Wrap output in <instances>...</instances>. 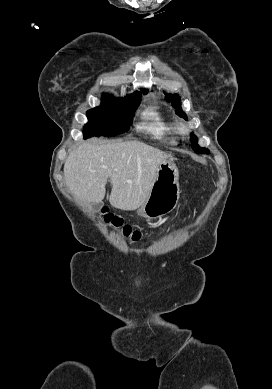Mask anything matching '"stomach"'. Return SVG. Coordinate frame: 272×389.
I'll return each mask as SVG.
<instances>
[{"instance_id": "0dacf381", "label": "stomach", "mask_w": 272, "mask_h": 389, "mask_svg": "<svg viewBox=\"0 0 272 389\" xmlns=\"http://www.w3.org/2000/svg\"><path fill=\"white\" fill-rule=\"evenodd\" d=\"M178 180V168L172 158H167L159 165L149 196L137 210L138 215L156 219L174 210L180 196Z\"/></svg>"}]
</instances>
